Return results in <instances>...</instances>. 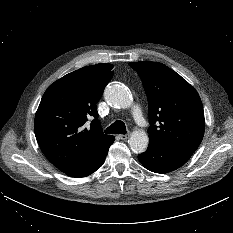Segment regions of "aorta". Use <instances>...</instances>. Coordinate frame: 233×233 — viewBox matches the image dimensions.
Wrapping results in <instances>:
<instances>
[{"label":"aorta","instance_id":"obj_1","mask_svg":"<svg viewBox=\"0 0 233 233\" xmlns=\"http://www.w3.org/2000/svg\"><path fill=\"white\" fill-rule=\"evenodd\" d=\"M105 100L118 108H128L131 105V98L127 89L120 84H109L104 90ZM149 138L145 131H134L129 138V146L135 153H143L148 146Z\"/></svg>","mask_w":233,"mask_h":233}]
</instances>
